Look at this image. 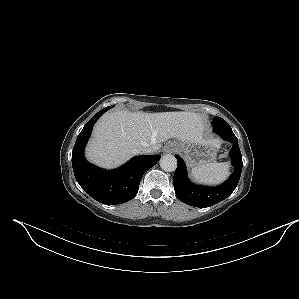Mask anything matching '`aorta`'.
<instances>
[{
  "label": "aorta",
  "mask_w": 299,
  "mask_h": 299,
  "mask_svg": "<svg viewBox=\"0 0 299 299\" xmlns=\"http://www.w3.org/2000/svg\"><path fill=\"white\" fill-rule=\"evenodd\" d=\"M160 167L165 172H173L177 168V159L173 155H164L160 159Z\"/></svg>",
  "instance_id": "obj_1"
}]
</instances>
